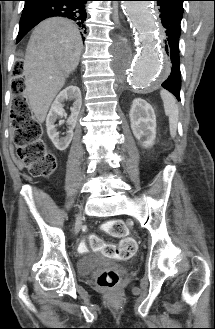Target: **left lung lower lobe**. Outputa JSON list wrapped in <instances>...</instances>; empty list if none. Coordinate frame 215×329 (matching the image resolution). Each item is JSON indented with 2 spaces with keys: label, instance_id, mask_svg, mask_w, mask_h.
Returning <instances> with one entry per match:
<instances>
[{
  "label": "left lung lower lobe",
  "instance_id": "0a47b994",
  "mask_svg": "<svg viewBox=\"0 0 215 329\" xmlns=\"http://www.w3.org/2000/svg\"><path fill=\"white\" fill-rule=\"evenodd\" d=\"M154 1H157L162 25L165 28L164 50L167 54V77L162 83V87L173 93L178 101H180L181 72L179 40L183 13L164 0Z\"/></svg>",
  "mask_w": 215,
  "mask_h": 329
}]
</instances>
